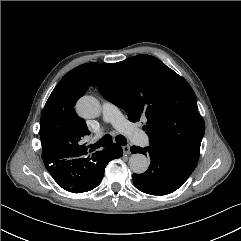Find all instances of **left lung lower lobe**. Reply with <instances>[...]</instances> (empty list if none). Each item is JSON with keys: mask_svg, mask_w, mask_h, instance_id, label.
<instances>
[{"mask_svg": "<svg viewBox=\"0 0 241 241\" xmlns=\"http://www.w3.org/2000/svg\"><path fill=\"white\" fill-rule=\"evenodd\" d=\"M132 153L150 156L151 164L143 174H133L134 185L151 195H166L177 190L191 175L198 160L163 147H131Z\"/></svg>", "mask_w": 241, "mask_h": 241, "instance_id": "1", "label": "left lung lower lobe"}]
</instances>
